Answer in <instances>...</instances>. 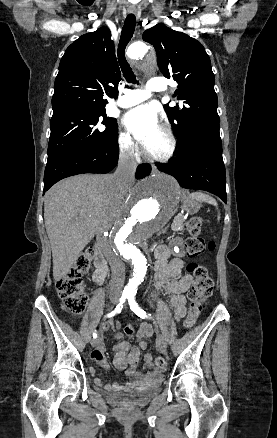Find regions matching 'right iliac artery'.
Returning a JSON list of instances; mask_svg holds the SVG:
<instances>
[{
    "label": "right iliac artery",
    "mask_w": 277,
    "mask_h": 438,
    "mask_svg": "<svg viewBox=\"0 0 277 438\" xmlns=\"http://www.w3.org/2000/svg\"><path fill=\"white\" fill-rule=\"evenodd\" d=\"M126 298H127V295H122L121 298H120V300H119L118 305H117L116 308H115V310L112 311L111 313H109L107 316H108V317H112V316H114V315L120 313L121 310H122V308H123V304H124ZM93 338H97V333H96V332L93 333Z\"/></svg>",
    "instance_id": "1"
}]
</instances>
